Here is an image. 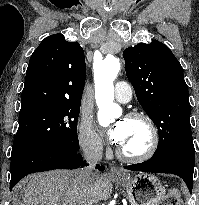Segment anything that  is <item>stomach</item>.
Here are the masks:
<instances>
[{
	"label": "stomach",
	"instance_id": "1",
	"mask_svg": "<svg viewBox=\"0 0 199 205\" xmlns=\"http://www.w3.org/2000/svg\"><path fill=\"white\" fill-rule=\"evenodd\" d=\"M116 180L125 188L131 205H160L165 196L161 181L151 174L123 175Z\"/></svg>",
	"mask_w": 199,
	"mask_h": 205
}]
</instances>
